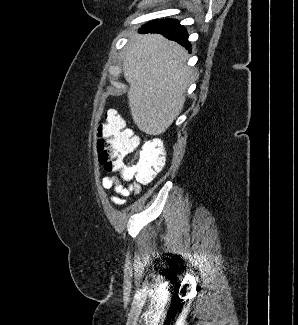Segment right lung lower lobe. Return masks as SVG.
Here are the masks:
<instances>
[{"label":"right lung lower lobe","instance_id":"right-lung-lower-lobe-1","mask_svg":"<svg viewBox=\"0 0 298 325\" xmlns=\"http://www.w3.org/2000/svg\"><path fill=\"white\" fill-rule=\"evenodd\" d=\"M141 33H160L170 40L177 41L182 46L190 50L188 34L183 26L177 20L165 19L150 22L140 29Z\"/></svg>","mask_w":298,"mask_h":325}]
</instances>
